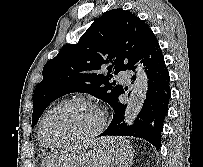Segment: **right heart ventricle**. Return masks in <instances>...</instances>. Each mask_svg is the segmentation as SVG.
<instances>
[{
  "instance_id": "1",
  "label": "right heart ventricle",
  "mask_w": 203,
  "mask_h": 167,
  "mask_svg": "<svg viewBox=\"0 0 203 167\" xmlns=\"http://www.w3.org/2000/svg\"><path fill=\"white\" fill-rule=\"evenodd\" d=\"M41 142V141H40ZM42 143V142H41ZM42 145H44V144H42ZM45 147H47V148H52V146H49V145H44Z\"/></svg>"
}]
</instances>
